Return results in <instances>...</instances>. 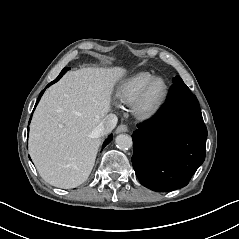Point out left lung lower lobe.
Wrapping results in <instances>:
<instances>
[{
    "mask_svg": "<svg viewBox=\"0 0 239 239\" xmlns=\"http://www.w3.org/2000/svg\"><path fill=\"white\" fill-rule=\"evenodd\" d=\"M206 138L196 96L184 82L173 84L166 107L132 135L136 176L157 192L186 186L205 159Z\"/></svg>",
    "mask_w": 239,
    "mask_h": 239,
    "instance_id": "0a47b994",
    "label": "left lung lower lobe"
}]
</instances>
